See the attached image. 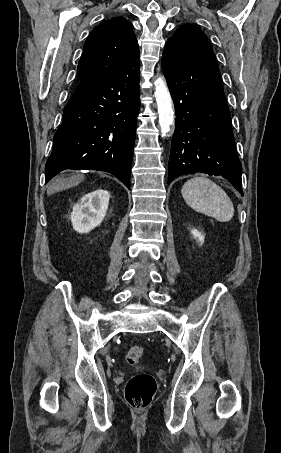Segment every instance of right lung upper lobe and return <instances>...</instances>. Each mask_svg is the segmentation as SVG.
<instances>
[{
	"instance_id": "1",
	"label": "right lung upper lobe",
	"mask_w": 281,
	"mask_h": 453,
	"mask_svg": "<svg viewBox=\"0 0 281 453\" xmlns=\"http://www.w3.org/2000/svg\"><path fill=\"white\" fill-rule=\"evenodd\" d=\"M133 25L122 17L101 22L91 31L78 63V81L110 78L139 56Z\"/></svg>"
}]
</instances>
